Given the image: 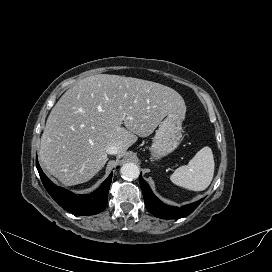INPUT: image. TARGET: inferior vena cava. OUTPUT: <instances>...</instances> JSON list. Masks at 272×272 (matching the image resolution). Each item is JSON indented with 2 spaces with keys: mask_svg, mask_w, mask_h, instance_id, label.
I'll return each mask as SVG.
<instances>
[{
  "mask_svg": "<svg viewBox=\"0 0 272 272\" xmlns=\"http://www.w3.org/2000/svg\"><path fill=\"white\" fill-rule=\"evenodd\" d=\"M119 151V147L117 145H110L106 148L107 154L115 155Z\"/></svg>",
  "mask_w": 272,
  "mask_h": 272,
  "instance_id": "1",
  "label": "inferior vena cava"
}]
</instances>
